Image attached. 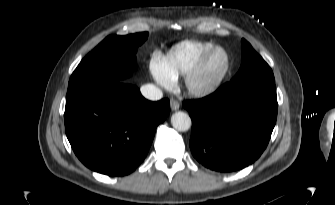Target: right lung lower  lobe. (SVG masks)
Segmentation results:
<instances>
[{"label": "right lung lower lobe", "instance_id": "98d812e1", "mask_svg": "<svg viewBox=\"0 0 335 205\" xmlns=\"http://www.w3.org/2000/svg\"><path fill=\"white\" fill-rule=\"evenodd\" d=\"M169 110L167 98L152 102L120 78L99 76L68 88L65 132L85 166L123 176L144 160Z\"/></svg>", "mask_w": 335, "mask_h": 205}]
</instances>
